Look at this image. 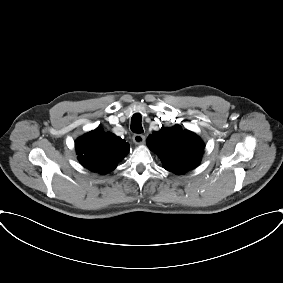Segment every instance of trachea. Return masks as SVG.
Returning <instances> with one entry per match:
<instances>
[{
    "label": "trachea",
    "instance_id": "trachea-1",
    "mask_svg": "<svg viewBox=\"0 0 283 283\" xmlns=\"http://www.w3.org/2000/svg\"><path fill=\"white\" fill-rule=\"evenodd\" d=\"M131 130L135 133H142L141 115L136 113L131 118Z\"/></svg>",
    "mask_w": 283,
    "mask_h": 283
}]
</instances>
